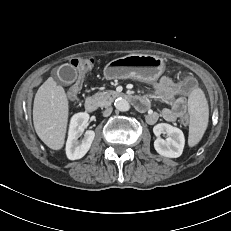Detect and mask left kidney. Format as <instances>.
Here are the masks:
<instances>
[{
  "instance_id": "1",
  "label": "left kidney",
  "mask_w": 231,
  "mask_h": 231,
  "mask_svg": "<svg viewBox=\"0 0 231 231\" xmlns=\"http://www.w3.org/2000/svg\"><path fill=\"white\" fill-rule=\"evenodd\" d=\"M153 132L157 137L154 141V148L157 153L168 158L181 156L185 145L182 130L167 123H160L154 126ZM162 133H166L168 138L162 139L160 137Z\"/></svg>"
}]
</instances>
